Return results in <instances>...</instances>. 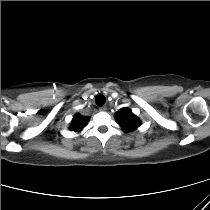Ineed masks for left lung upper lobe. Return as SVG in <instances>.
Returning a JSON list of instances; mask_svg holds the SVG:
<instances>
[{
    "label": "left lung upper lobe",
    "instance_id": "5c2ea615",
    "mask_svg": "<svg viewBox=\"0 0 210 210\" xmlns=\"http://www.w3.org/2000/svg\"><path fill=\"white\" fill-rule=\"evenodd\" d=\"M119 125L128 131H132L140 126V120L128 108L120 109L115 115Z\"/></svg>",
    "mask_w": 210,
    "mask_h": 210
}]
</instances>
